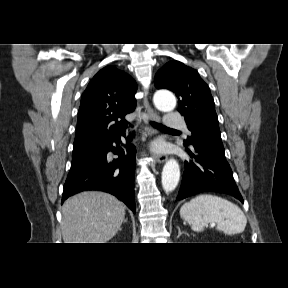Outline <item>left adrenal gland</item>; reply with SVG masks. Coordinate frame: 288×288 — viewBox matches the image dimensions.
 <instances>
[{
	"mask_svg": "<svg viewBox=\"0 0 288 288\" xmlns=\"http://www.w3.org/2000/svg\"><path fill=\"white\" fill-rule=\"evenodd\" d=\"M177 229H178V236H180V235H182L184 232H182L181 230H180V228L179 227H177Z\"/></svg>",
	"mask_w": 288,
	"mask_h": 288,
	"instance_id": "a2214340",
	"label": "left adrenal gland"
}]
</instances>
